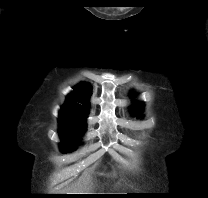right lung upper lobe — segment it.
Returning a JSON list of instances; mask_svg holds the SVG:
<instances>
[{
    "mask_svg": "<svg viewBox=\"0 0 208 198\" xmlns=\"http://www.w3.org/2000/svg\"><path fill=\"white\" fill-rule=\"evenodd\" d=\"M91 87L87 84H79L74 89L73 95H69L66 99V103L61 107L60 120H75L85 123L87 115V107L89 103L87 101L90 95Z\"/></svg>",
    "mask_w": 208,
    "mask_h": 198,
    "instance_id": "cb5924a9",
    "label": "right lung upper lobe"
}]
</instances>
